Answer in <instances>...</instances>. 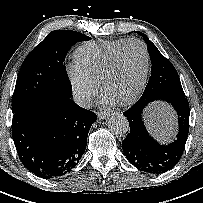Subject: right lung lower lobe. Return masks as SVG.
<instances>
[{"mask_svg": "<svg viewBox=\"0 0 203 203\" xmlns=\"http://www.w3.org/2000/svg\"><path fill=\"white\" fill-rule=\"evenodd\" d=\"M94 112L70 97L47 98L13 114L12 136L22 164L44 179L69 173L84 154Z\"/></svg>", "mask_w": 203, "mask_h": 203, "instance_id": "right-lung-lower-lobe-1", "label": "right lung lower lobe"}]
</instances>
